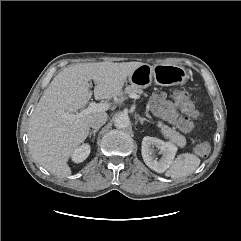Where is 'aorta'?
I'll return each instance as SVG.
<instances>
[{
  "label": "aorta",
  "instance_id": "obj_1",
  "mask_svg": "<svg viewBox=\"0 0 241 241\" xmlns=\"http://www.w3.org/2000/svg\"><path fill=\"white\" fill-rule=\"evenodd\" d=\"M114 125L116 126V128H119V129H124L129 127L130 125L129 116L126 114H120L116 116L114 120Z\"/></svg>",
  "mask_w": 241,
  "mask_h": 241
}]
</instances>
